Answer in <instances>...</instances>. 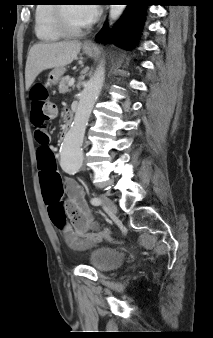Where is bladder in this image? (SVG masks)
<instances>
[{"instance_id": "1", "label": "bladder", "mask_w": 213, "mask_h": 338, "mask_svg": "<svg viewBox=\"0 0 213 338\" xmlns=\"http://www.w3.org/2000/svg\"><path fill=\"white\" fill-rule=\"evenodd\" d=\"M123 260L124 255L121 251L108 247L97 248L90 255L91 267L100 273L118 268Z\"/></svg>"}]
</instances>
